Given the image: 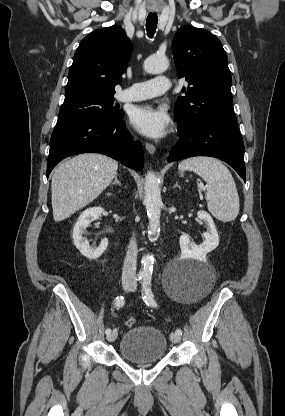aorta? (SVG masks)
<instances>
[{
    "mask_svg": "<svg viewBox=\"0 0 285 416\" xmlns=\"http://www.w3.org/2000/svg\"><path fill=\"white\" fill-rule=\"evenodd\" d=\"M169 62L166 57L152 55L144 62V70L150 74H160L168 69ZM145 198L144 204L146 206L148 215V233L150 237L155 236L160 231V215H161V192L159 182L156 175L149 171L145 176ZM154 258L151 255H144L141 260L142 269L140 274L142 276H151L153 272Z\"/></svg>",
    "mask_w": 285,
    "mask_h": 416,
    "instance_id": "762f6f07",
    "label": "aorta"
}]
</instances>
